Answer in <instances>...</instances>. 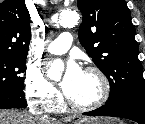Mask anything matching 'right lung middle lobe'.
Segmentation results:
<instances>
[{
    "mask_svg": "<svg viewBox=\"0 0 145 124\" xmlns=\"http://www.w3.org/2000/svg\"><path fill=\"white\" fill-rule=\"evenodd\" d=\"M26 57L0 54V89L23 90Z\"/></svg>",
    "mask_w": 145,
    "mask_h": 124,
    "instance_id": "dd1d6c3e",
    "label": "right lung middle lobe"
}]
</instances>
